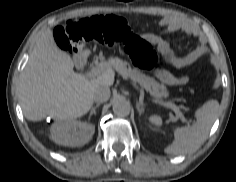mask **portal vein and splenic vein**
<instances>
[{
	"mask_svg": "<svg viewBox=\"0 0 236 182\" xmlns=\"http://www.w3.org/2000/svg\"><path fill=\"white\" fill-rule=\"evenodd\" d=\"M106 70H107V67L105 65H101V64L96 65V66L92 67L90 71H88L86 73V76L89 77V78H94L98 74H100V73H102ZM136 88H138V87H136ZM153 102L171 108L182 121L185 120L183 114L180 112L179 108L174 103H172V102H162V101H158V100H153Z\"/></svg>",
	"mask_w": 236,
	"mask_h": 182,
	"instance_id": "1",
	"label": "portal vein and splenic vein"
}]
</instances>
